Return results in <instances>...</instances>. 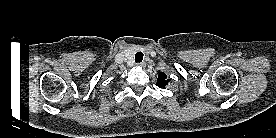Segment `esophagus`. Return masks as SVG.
<instances>
[{
    "instance_id": "34e87169",
    "label": "esophagus",
    "mask_w": 276,
    "mask_h": 138,
    "mask_svg": "<svg viewBox=\"0 0 276 138\" xmlns=\"http://www.w3.org/2000/svg\"><path fill=\"white\" fill-rule=\"evenodd\" d=\"M137 66L144 68L146 64L144 62H141V63H137Z\"/></svg>"
}]
</instances>
